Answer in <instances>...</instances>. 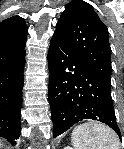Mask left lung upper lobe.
Masks as SVG:
<instances>
[{"label": "left lung upper lobe", "mask_w": 124, "mask_h": 149, "mask_svg": "<svg viewBox=\"0 0 124 149\" xmlns=\"http://www.w3.org/2000/svg\"><path fill=\"white\" fill-rule=\"evenodd\" d=\"M55 33L98 76L111 83L109 33L90 4L82 0L67 4L58 20Z\"/></svg>", "instance_id": "obj_1"}]
</instances>
